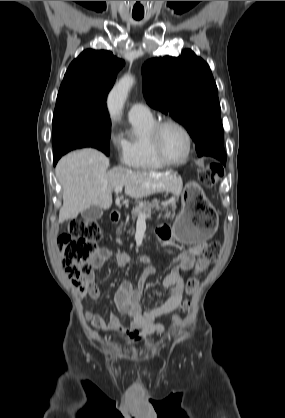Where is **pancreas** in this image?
I'll return each mask as SVG.
<instances>
[{"label": "pancreas", "mask_w": 285, "mask_h": 418, "mask_svg": "<svg viewBox=\"0 0 285 418\" xmlns=\"http://www.w3.org/2000/svg\"><path fill=\"white\" fill-rule=\"evenodd\" d=\"M169 206L171 207L172 212L169 210ZM153 209H156L157 211L164 210L165 211V217H167V218H174V216H175V212H174L175 204L169 205L166 202H163V201L160 202L158 200H155L153 202L142 203L136 209H134L132 211L133 222L135 220V217L138 216L139 212L144 213V214H150ZM126 224H127L126 222L122 223L120 225V229L123 227V225H126ZM120 229L117 231L118 233H120ZM132 230H133V228H132Z\"/></svg>", "instance_id": "1"}]
</instances>
